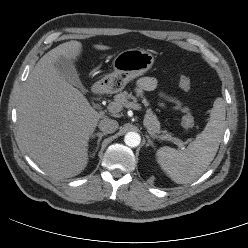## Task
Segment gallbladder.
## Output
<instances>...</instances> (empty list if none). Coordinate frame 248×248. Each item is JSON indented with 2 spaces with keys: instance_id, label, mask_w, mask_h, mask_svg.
Here are the masks:
<instances>
[{
  "instance_id": "gallbladder-1",
  "label": "gallbladder",
  "mask_w": 248,
  "mask_h": 248,
  "mask_svg": "<svg viewBox=\"0 0 248 248\" xmlns=\"http://www.w3.org/2000/svg\"><path fill=\"white\" fill-rule=\"evenodd\" d=\"M55 66L59 72V74L71 85L76 86L81 91L85 92L86 89L82 85L77 70L73 64V62L66 57H59L55 61Z\"/></svg>"
}]
</instances>
